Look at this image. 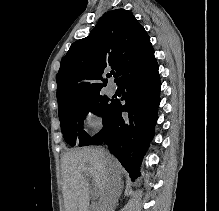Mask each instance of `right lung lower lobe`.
<instances>
[{"instance_id":"right-lung-lower-lobe-1","label":"right lung lower lobe","mask_w":219,"mask_h":211,"mask_svg":"<svg viewBox=\"0 0 219 211\" xmlns=\"http://www.w3.org/2000/svg\"><path fill=\"white\" fill-rule=\"evenodd\" d=\"M123 93L103 121L104 127L86 145L107 144L109 151L121 162L132 180L137 178L139 166L153 138L160 103L158 65L153 57L136 68L117 84ZM122 112L128 116L123 117Z\"/></svg>"}]
</instances>
